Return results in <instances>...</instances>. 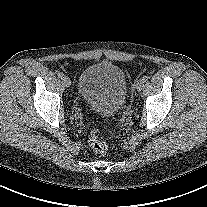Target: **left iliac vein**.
Returning a JSON list of instances; mask_svg holds the SVG:
<instances>
[{
	"mask_svg": "<svg viewBox=\"0 0 207 207\" xmlns=\"http://www.w3.org/2000/svg\"><path fill=\"white\" fill-rule=\"evenodd\" d=\"M143 87H144V81H143L142 79L138 80V81L136 82V89H137L138 91H141Z\"/></svg>",
	"mask_w": 207,
	"mask_h": 207,
	"instance_id": "4c4485c4",
	"label": "left iliac vein"
}]
</instances>
